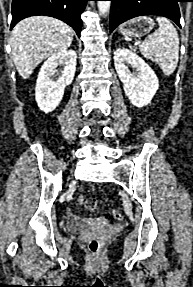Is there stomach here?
I'll return each instance as SVG.
<instances>
[{"instance_id": "1", "label": "stomach", "mask_w": 193, "mask_h": 287, "mask_svg": "<svg viewBox=\"0 0 193 287\" xmlns=\"http://www.w3.org/2000/svg\"><path fill=\"white\" fill-rule=\"evenodd\" d=\"M154 21L149 17H139L130 20L119 27V32L125 37H142L154 27Z\"/></svg>"}]
</instances>
